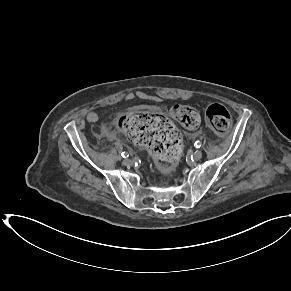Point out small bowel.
I'll return each instance as SVG.
<instances>
[{"label": "small bowel", "instance_id": "c3829d8e", "mask_svg": "<svg viewBox=\"0 0 291 291\" xmlns=\"http://www.w3.org/2000/svg\"><path fill=\"white\" fill-rule=\"evenodd\" d=\"M134 96L137 97V98L141 97L140 96V92L139 91H135L134 92ZM87 120L89 122L96 123V122H98L99 117H98V115L95 112H89L87 114Z\"/></svg>", "mask_w": 291, "mask_h": 291}]
</instances>
